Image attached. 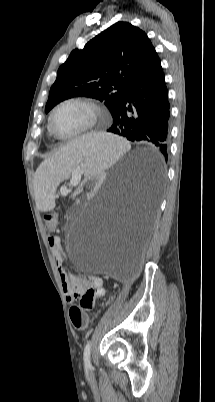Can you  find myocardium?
I'll return each instance as SVG.
<instances>
[{
	"mask_svg": "<svg viewBox=\"0 0 215 402\" xmlns=\"http://www.w3.org/2000/svg\"><path fill=\"white\" fill-rule=\"evenodd\" d=\"M68 104H77V105H81V106H84L85 108H87L90 113L89 121L82 129H80L79 131H77L75 133L68 134V135H60L53 128V124H52L53 117L58 109H60L61 107L65 106V105H68ZM103 114H104V111H103L102 107L96 101H94L90 98H84V97L66 98V99L60 101L59 103H57L52 108V110L49 114V117H48V130L52 136H54L55 138L60 139V140L76 139V138L82 137V136L90 133L91 131H93L97 127L99 120L103 116Z\"/></svg>",
	"mask_w": 215,
	"mask_h": 402,
	"instance_id": "obj_1",
	"label": "myocardium"
}]
</instances>
